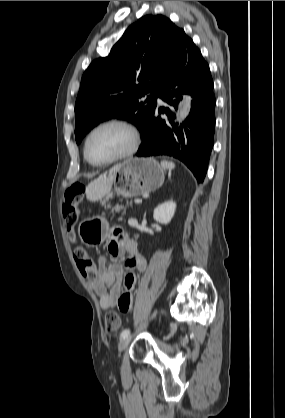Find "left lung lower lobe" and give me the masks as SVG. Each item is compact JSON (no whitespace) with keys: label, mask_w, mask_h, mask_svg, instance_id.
<instances>
[{"label":"left lung lower lobe","mask_w":285,"mask_h":418,"mask_svg":"<svg viewBox=\"0 0 285 418\" xmlns=\"http://www.w3.org/2000/svg\"><path fill=\"white\" fill-rule=\"evenodd\" d=\"M213 80L207 62L191 38H182L179 50L165 73L158 92L159 98L177 109L182 94L194 99L191 111L179 127L172 120L170 109L166 113L169 123L155 111L150 127L143 137L136 156L169 155L184 162L199 182H203L208 160L214 144L215 95Z\"/></svg>","instance_id":"left-lung-lower-lobe-1"}]
</instances>
